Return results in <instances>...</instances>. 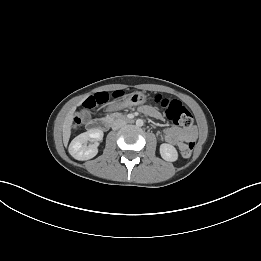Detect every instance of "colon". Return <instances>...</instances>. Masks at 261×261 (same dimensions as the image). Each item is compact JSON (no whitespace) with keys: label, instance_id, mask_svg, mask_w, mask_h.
Returning <instances> with one entry per match:
<instances>
[{"label":"colon","instance_id":"colon-1","mask_svg":"<svg viewBox=\"0 0 261 261\" xmlns=\"http://www.w3.org/2000/svg\"><path fill=\"white\" fill-rule=\"evenodd\" d=\"M114 98H120L123 96V92L117 91L112 94ZM109 99L107 93H98L95 96L89 97L84 102L86 109H94L98 106L104 105ZM154 101L160 104L165 109L166 117L176 125L182 127H190L193 123V117L189 110L178 100H169L163 98L161 95H156ZM81 124V116L77 115L74 120V127H78ZM195 142H189L181 151L184 157H190L194 151Z\"/></svg>","mask_w":261,"mask_h":261}]
</instances>
